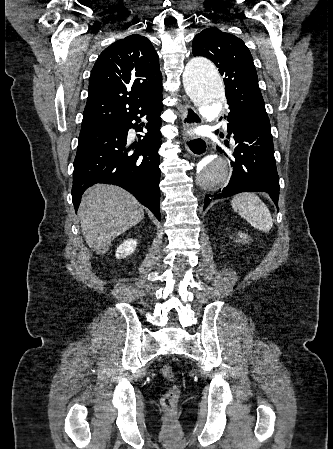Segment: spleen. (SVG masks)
Here are the masks:
<instances>
[{
    "label": "spleen",
    "mask_w": 333,
    "mask_h": 449,
    "mask_svg": "<svg viewBox=\"0 0 333 449\" xmlns=\"http://www.w3.org/2000/svg\"><path fill=\"white\" fill-rule=\"evenodd\" d=\"M232 208L252 226L267 232L273 225L271 213L266 204L254 193H242L231 202Z\"/></svg>",
    "instance_id": "3e777b00"
}]
</instances>
